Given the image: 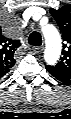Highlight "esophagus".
Returning a JSON list of instances; mask_svg holds the SVG:
<instances>
[{
  "mask_svg": "<svg viewBox=\"0 0 71 119\" xmlns=\"http://www.w3.org/2000/svg\"><path fill=\"white\" fill-rule=\"evenodd\" d=\"M44 47L43 46H34L31 48L32 53L38 54L43 51Z\"/></svg>",
  "mask_w": 71,
  "mask_h": 119,
  "instance_id": "esophagus-1",
  "label": "esophagus"
}]
</instances>
